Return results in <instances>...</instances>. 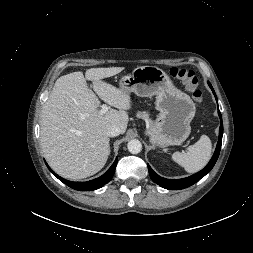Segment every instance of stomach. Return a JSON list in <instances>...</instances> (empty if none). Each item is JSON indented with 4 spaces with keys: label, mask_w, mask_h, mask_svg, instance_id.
I'll return each instance as SVG.
<instances>
[{
    "label": "stomach",
    "mask_w": 253,
    "mask_h": 253,
    "mask_svg": "<svg viewBox=\"0 0 253 253\" xmlns=\"http://www.w3.org/2000/svg\"><path fill=\"white\" fill-rule=\"evenodd\" d=\"M120 88L128 95L156 96L159 115L146 129L150 142L159 147L180 145L191 132L195 103L176 88L166 72L157 66H140L120 80Z\"/></svg>",
    "instance_id": "0dacf381"
}]
</instances>
